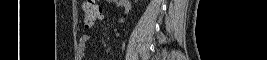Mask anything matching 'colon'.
Instances as JSON below:
<instances>
[{
    "instance_id": "5ec220e1",
    "label": "colon",
    "mask_w": 267,
    "mask_h": 60,
    "mask_svg": "<svg viewBox=\"0 0 267 60\" xmlns=\"http://www.w3.org/2000/svg\"><path fill=\"white\" fill-rule=\"evenodd\" d=\"M83 19L86 27H91L102 18V6L93 1H86L83 4Z\"/></svg>"
}]
</instances>
